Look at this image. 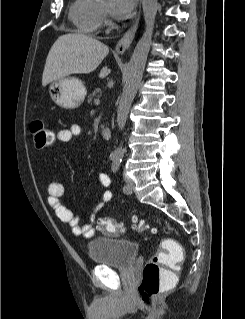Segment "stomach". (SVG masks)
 Segmentation results:
<instances>
[{
	"label": "stomach",
	"instance_id": "1",
	"mask_svg": "<svg viewBox=\"0 0 245 319\" xmlns=\"http://www.w3.org/2000/svg\"><path fill=\"white\" fill-rule=\"evenodd\" d=\"M49 94L56 105L65 109H74L83 103L87 90L80 79L65 77L51 82Z\"/></svg>",
	"mask_w": 245,
	"mask_h": 319
}]
</instances>
